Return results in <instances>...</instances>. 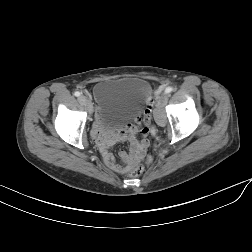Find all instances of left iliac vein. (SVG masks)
Masks as SVG:
<instances>
[{"instance_id": "4c4485c4", "label": "left iliac vein", "mask_w": 252, "mask_h": 252, "mask_svg": "<svg viewBox=\"0 0 252 252\" xmlns=\"http://www.w3.org/2000/svg\"><path fill=\"white\" fill-rule=\"evenodd\" d=\"M167 100H168V94H167V93L161 94V95L158 97V105H159L160 107H163V106L167 103Z\"/></svg>"}]
</instances>
